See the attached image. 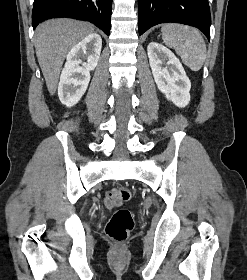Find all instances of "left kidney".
I'll return each instance as SVG.
<instances>
[{"mask_svg": "<svg viewBox=\"0 0 247 280\" xmlns=\"http://www.w3.org/2000/svg\"><path fill=\"white\" fill-rule=\"evenodd\" d=\"M147 53L158 89L177 107H186L190 102L191 83L178 58L156 42L149 43Z\"/></svg>", "mask_w": 247, "mask_h": 280, "instance_id": "obj_1", "label": "left kidney"}]
</instances>
